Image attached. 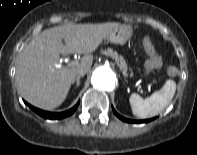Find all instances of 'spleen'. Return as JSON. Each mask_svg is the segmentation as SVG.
<instances>
[{"instance_id": "1", "label": "spleen", "mask_w": 197, "mask_h": 155, "mask_svg": "<svg viewBox=\"0 0 197 155\" xmlns=\"http://www.w3.org/2000/svg\"><path fill=\"white\" fill-rule=\"evenodd\" d=\"M176 83L169 79L161 90L154 92L150 97L143 99L140 95L133 93L129 102L132 113L138 118H149L161 113L171 102L175 95Z\"/></svg>"}]
</instances>
